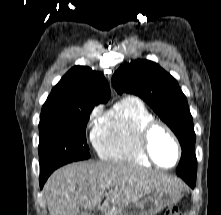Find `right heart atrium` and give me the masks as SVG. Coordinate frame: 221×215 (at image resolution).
Here are the masks:
<instances>
[{
    "label": "right heart atrium",
    "mask_w": 221,
    "mask_h": 215,
    "mask_svg": "<svg viewBox=\"0 0 221 215\" xmlns=\"http://www.w3.org/2000/svg\"><path fill=\"white\" fill-rule=\"evenodd\" d=\"M98 112H99V108H95V109L91 112L90 118H91V119L95 118V117L97 116Z\"/></svg>",
    "instance_id": "1"
}]
</instances>
